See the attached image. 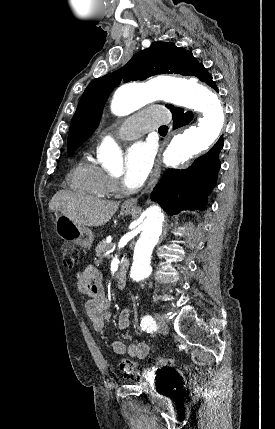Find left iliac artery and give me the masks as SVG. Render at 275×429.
Instances as JSON below:
<instances>
[{
	"label": "left iliac artery",
	"mask_w": 275,
	"mask_h": 429,
	"mask_svg": "<svg viewBox=\"0 0 275 429\" xmlns=\"http://www.w3.org/2000/svg\"><path fill=\"white\" fill-rule=\"evenodd\" d=\"M141 328L142 330H152L155 328V322L150 315L144 316L141 320Z\"/></svg>",
	"instance_id": "obj_1"
}]
</instances>
